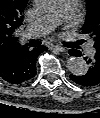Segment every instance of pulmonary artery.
I'll return each instance as SVG.
<instances>
[{"label": "pulmonary artery", "instance_id": "pulmonary-artery-1", "mask_svg": "<svg viewBox=\"0 0 100 118\" xmlns=\"http://www.w3.org/2000/svg\"><path fill=\"white\" fill-rule=\"evenodd\" d=\"M78 6V0H60L58 8L36 23L29 25L26 28L28 38H37L49 33L54 27L64 21L72 19ZM87 52L89 55L94 53L92 45L88 46Z\"/></svg>", "mask_w": 100, "mask_h": 118}]
</instances>
